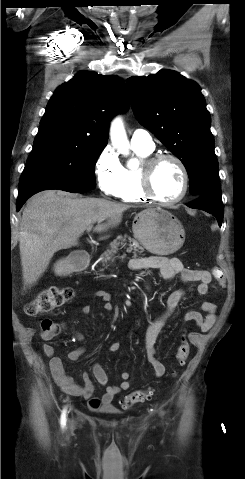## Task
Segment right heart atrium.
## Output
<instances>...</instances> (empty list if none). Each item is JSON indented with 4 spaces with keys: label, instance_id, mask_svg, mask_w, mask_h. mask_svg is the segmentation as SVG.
I'll use <instances>...</instances> for the list:
<instances>
[{
    "label": "right heart atrium",
    "instance_id": "right-heart-atrium-1",
    "mask_svg": "<svg viewBox=\"0 0 245 479\" xmlns=\"http://www.w3.org/2000/svg\"><path fill=\"white\" fill-rule=\"evenodd\" d=\"M123 167L110 148H106L99 156L95 165V175L98 187L104 196H117L121 181Z\"/></svg>",
    "mask_w": 245,
    "mask_h": 479
}]
</instances>
